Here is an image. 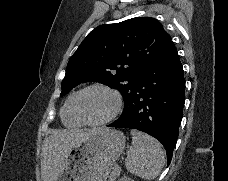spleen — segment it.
Masks as SVG:
<instances>
[{
  "label": "spleen",
  "instance_id": "3e777b00",
  "mask_svg": "<svg viewBox=\"0 0 228 181\" xmlns=\"http://www.w3.org/2000/svg\"><path fill=\"white\" fill-rule=\"evenodd\" d=\"M132 145L125 159V167L128 173L141 177L145 181H153L160 175L165 159L161 143L140 133V131H131Z\"/></svg>",
  "mask_w": 228,
  "mask_h": 181
}]
</instances>
